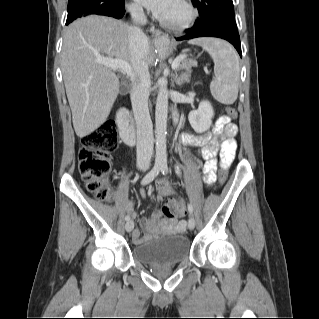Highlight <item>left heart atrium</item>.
I'll return each instance as SVG.
<instances>
[{
	"label": "left heart atrium",
	"mask_w": 319,
	"mask_h": 319,
	"mask_svg": "<svg viewBox=\"0 0 319 319\" xmlns=\"http://www.w3.org/2000/svg\"><path fill=\"white\" fill-rule=\"evenodd\" d=\"M140 4L161 16L169 6L171 0H137Z\"/></svg>",
	"instance_id": "obj_1"
}]
</instances>
